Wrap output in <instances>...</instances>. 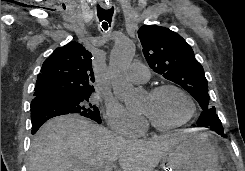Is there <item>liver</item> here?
I'll return each instance as SVG.
<instances>
[{"label":"liver","mask_w":245,"mask_h":171,"mask_svg":"<svg viewBox=\"0 0 245 171\" xmlns=\"http://www.w3.org/2000/svg\"><path fill=\"white\" fill-rule=\"evenodd\" d=\"M184 136L127 140L76 115L53 118L38 131L28 171H94L119 161L120 171H153Z\"/></svg>","instance_id":"obj_1"}]
</instances>
